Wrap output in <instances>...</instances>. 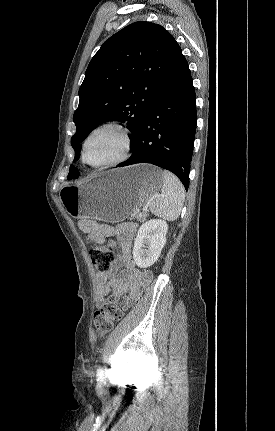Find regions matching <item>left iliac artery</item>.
Masks as SVG:
<instances>
[{
    "label": "left iliac artery",
    "mask_w": 275,
    "mask_h": 431,
    "mask_svg": "<svg viewBox=\"0 0 275 431\" xmlns=\"http://www.w3.org/2000/svg\"><path fill=\"white\" fill-rule=\"evenodd\" d=\"M97 377H98L99 379H102V378H103V370H102V368H101V367H98V369H97Z\"/></svg>",
    "instance_id": "left-iliac-artery-1"
}]
</instances>
